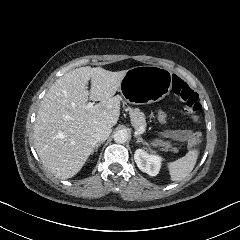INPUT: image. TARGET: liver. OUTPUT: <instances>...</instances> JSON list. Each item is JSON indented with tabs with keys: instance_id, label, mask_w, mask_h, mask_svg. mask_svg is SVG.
<instances>
[{
	"instance_id": "obj_1",
	"label": "liver",
	"mask_w": 240,
	"mask_h": 240,
	"mask_svg": "<svg viewBox=\"0 0 240 240\" xmlns=\"http://www.w3.org/2000/svg\"><path fill=\"white\" fill-rule=\"evenodd\" d=\"M126 72L80 67L59 77L49 88L36 117L34 147L53 175L68 179L77 174L96 145L97 128L117 123L120 97L114 95ZM88 100L99 103L87 107Z\"/></svg>"
}]
</instances>
